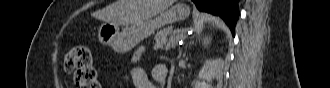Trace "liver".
Wrapping results in <instances>:
<instances>
[{"mask_svg": "<svg viewBox=\"0 0 330 88\" xmlns=\"http://www.w3.org/2000/svg\"><path fill=\"white\" fill-rule=\"evenodd\" d=\"M173 3L174 0H117L102 11L101 19L117 25H132L151 19Z\"/></svg>", "mask_w": 330, "mask_h": 88, "instance_id": "liver-1", "label": "liver"}]
</instances>
